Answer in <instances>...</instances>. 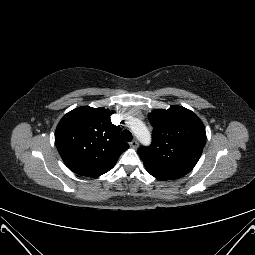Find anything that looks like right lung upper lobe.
<instances>
[{
	"instance_id": "obj_1",
	"label": "right lung upper lobe",
	"mask_w": 255,
	"mask_h": 255,
	"mask_svg": "<svg viewBox=\"0 0 255 255\" xmlns=\"http://www.w3.org/2000/svg\"><path fill=\"white\" fill-rule=\"evenodd\" d=\"M110 111L83 106L68 112L55 132L56 147L74 173L99 177L111 170L128 149L120 127L112 124Z\"/></svg>"
}]
</instances>
